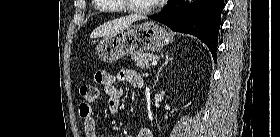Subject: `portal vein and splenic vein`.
Wrapping results in <instances>:
<instances>
[{
  "label": "portal vein and splenic vein",
  "mask_w": 280,
  "mask_h": 137,
  "mask_svg": "<svg viewBox=\"0 0 280 137\" xmlns=\"http://www.w3.org/2000/svg\"><path fill=\"white\" fill-rule=\"evenodd\" d=\"M153 66H155V65H157V61L156 60H154V61H152V63H151Z\"/></svg>",
  "instance_id": "portal-vein-and-splenic-vein-1"
}]
</instances>
